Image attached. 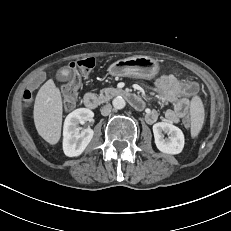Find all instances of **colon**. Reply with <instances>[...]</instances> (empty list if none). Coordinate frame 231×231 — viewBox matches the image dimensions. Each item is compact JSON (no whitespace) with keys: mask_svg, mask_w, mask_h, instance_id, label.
I'll return each instance as SVG.
<instances>
[{"mask_svg":"<svg viewBox=\"0 0 231 231\" xmlns=\"http://www.w3.org/2000/svg\"><path fill=\"white\" fill-rule=\"evenodd\" d=\"M72 68L79 70L82 74H88L92 71L95 66L94 58H84L77 61H74L70 65ZM49 76L48 70H43L42 73L37 76L36 81H33L28 85V89L24 92V99L29 100L32 97L33 92L39 89L42 86L46 79ZM80 82L78 79H73L67 82L62 87V97L63 102L66 108H71L75 105L78 92H79ZM179 92L187 94L189 97H193L196 94L197 86L194 82L190 81L184 84L179 85ZM184 124L188 126L190 124V120L187 118L184 120Z\"/></svg>","mask_w":231,"mask_h":231,"instance_id":"colon-1","label":"colon"}]
</instances>
